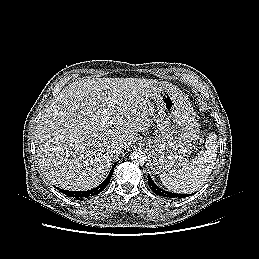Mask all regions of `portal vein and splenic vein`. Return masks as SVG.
I'll list each match as a JSON object with an SVG mask.
<instances>
[{
    "mask_svg": "<svg viewBox=\"0 0 259 259\" xmlns=\"http://www.w3.org/2000/svg\"><path fill=\"white\" fill-rule=\"evenodd\" d=\"M104 124H106V125L110 124L107 118L104 119Z\"/></svg>",
    "mask_w": 259,
    "mask_h": 259,
    "instance_id": "obj_1",
    "label": "portal vein and splenic vein"
}]
</instances>
